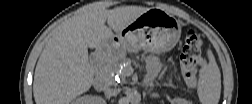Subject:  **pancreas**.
<instances>
[{
    "label": "pancreas",
    "mask_w": 252,
    "mask_h": 104,
    "mask_svg": "<svg viewBox=\"0 0 252 104\" xmlns=\"http://www.w3.org/2000/svg\"><path fill=\"white\" fill-rule=\"evenodd\" d=\"M115 67H116L115 62L110 61V62L104 67L103 71H104L105 73H111V72H113V71L115 70ZM122 75L125 76L124 73H122Z\"/></svg>",
    "instance_id": "pancreas-1"
}]
</instances>
